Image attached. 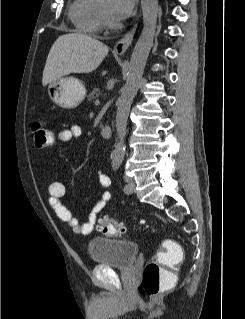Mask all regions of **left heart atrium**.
<instances>
[{
    "label": "left heart atrium",
    "instance_id": "obj_1",
    "mask_svg": "<svg viewBox=\"0 0 245 319\" xmlns=\"http://www.w3.org/2000/svg\"><path fill=\"white\" fill-rule=\"evenodd\" d=\"M135 3L136 0H113L112 13L114 17L118 20L127 18L131 14Z\"/></svg>",
    "mask_w": 245,
    "mask_h": 319
}]
</instances>
